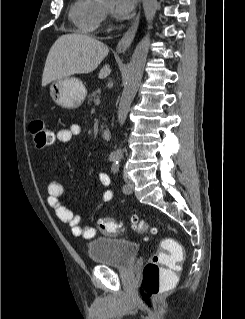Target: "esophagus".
Wrapping results in <instances>:
<instances>
[{"mask_svg":"<svg viewBox=\"0 0 245 319\" xmlns=\"http://www.w3.org/2000/svg\"><path fill=\"white\" fill-rule=\"evenodd\" d=\"M139 19H140V14L138 13V15L136 16L130 28L125 32V34L119 41L116 48L117 52L122 53L129 48V46L131 45L135 37L136 31L138 29Z\"/></svg>","mask_w":245,"mask_h":319,"instance_id":"1","label":"esophagus"}]
</instances>
